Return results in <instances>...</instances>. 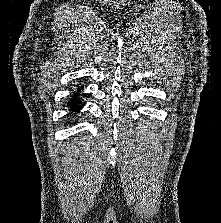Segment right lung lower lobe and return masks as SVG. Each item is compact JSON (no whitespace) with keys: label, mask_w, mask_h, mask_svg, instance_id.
<instances>
[{"label":"right lung lower lobe","mask_w":221,"mask_h":223,"mask_svg":"<svg viewBox=\"0 0 221 223\" xmlns=\"http://www.w3.org/2000/svg\"><path fill=\"white\" fill-rule=\"evenodd\" d=\"M83 89V86L81 87ZM81 89L78 88V91H80ZM77 95H74L73 98H71V103H70V108L79 112L80 110V106L78 105L79 104V101L77 100Z\"/></svg>","instance_id":"1"}]
</instances>
